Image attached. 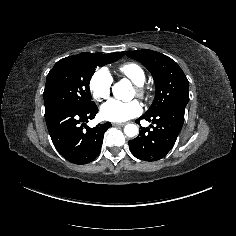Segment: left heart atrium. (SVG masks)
<instances>
[{
	"instance_id": "obj_1",
	"label": "left heart atrium",
	"mask_w": 236,
	"mask_h": 236,
	"mask_svg": "<svg viewBox=\"0 0 236 236\" xmlns=\"http://www.w3.org/2000/svg\"><path fill=\"white\" fill-rule=\"evenodd\" d=\"M142 111V106L138 101L118 102L111 100L101 108L100 116L103 120L111 122H125Z\"/></svg>"
}]
</instances>
